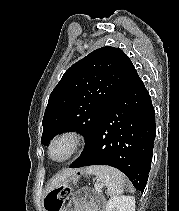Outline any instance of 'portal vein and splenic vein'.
<instances>
[{"instance_id": "portal-vein-and-splenic-vein-1", "label": "portal vein and splenic vein", "mask_w": 179, "mask_h": 211, "mask_svg": "<svg viewBox=\"0 0 179 211\" xmlns=\"http://www.w3.org/2000/svg\"><path fill=\"white\" fill-rule=\"evenodd\" d=\"M100 188H101V187H100V186H98L97 190H98V191H100Z\"/></svg>"}]
</instances>
